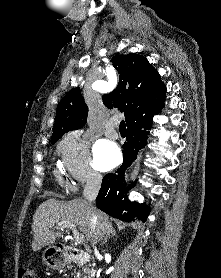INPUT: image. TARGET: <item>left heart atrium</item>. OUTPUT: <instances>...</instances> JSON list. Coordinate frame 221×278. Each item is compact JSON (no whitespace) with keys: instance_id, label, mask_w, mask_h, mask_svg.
<instances>
[{"instance_id":"obj_1","label":"left heart atrium","mask_w":221,"mask_h":278,"mask_svg":"<svg viewBox=\"0 0 221 278\" xmlns=\"http://www.w3.org/2000/svg\"><path fill=\"white\" fill-rule=\"evenodd\" d=\"M94 162L101 171H107L118 164L121 158L119 147L112 141L99 140L93 148Z\"/></svg>"}]
</instances>
